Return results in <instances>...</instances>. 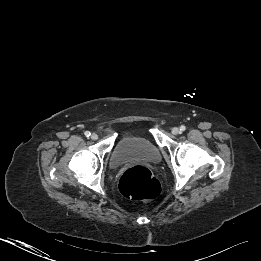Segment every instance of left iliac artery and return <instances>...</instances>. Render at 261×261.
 <instances>
[{
    "instance_id": "44dca946",
    "label": "left iliac artery",
    "mask_w": 261,
    "mask_h": 261,
    "mask_svg": "<svg viewBox=\"0 0 261 261\" xmlns=\"http://www.w3.org/2000/svg\"><path fill=\"white\" fill-rule=\"evenodd\" d=\"M180 130H181V131H185V130H186V127H185L184 125H182V126L180 127Z\"/></svg>"
}]
</instances>
